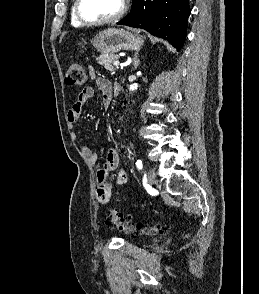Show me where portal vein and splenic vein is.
Masks as SVG:
<instances>
[{
  "mask_svg": "<svg viewBox=\"0 0 259 294\" xmlns=\"http://www.w3.org/2000/svg\"><path fill=\"white\" fill-rule=\"evenodd\" d=\"M113 65L116 66V67H118V66L121 65V63H120L119 61H114V62H113Z\"/></svg>",
  "mask_w": 259,
  "mask_h": 294,
  "instance_id": "obj_1",
  "label": "portal vein and splenic vein"
}]
</instances>
